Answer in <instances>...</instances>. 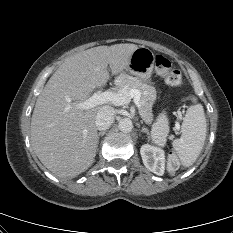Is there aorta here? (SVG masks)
<instances>
[{
	"instance_id": "aorta-1",
	"label": "aorta",
	"mask_w": 233,
	"mask_h": 233,
	"mask_svg": "<svg viewBox=\"0 0 233 233\" xmlns=\"http://www.w3.org/2000/svg\"><path fill=\"white\" fill-rule=\"evenodd\" d=\"M118 126H119L120 131H122L124 133L131 132L133 129V123H132L131 119H129V118H122L119 121Z\"/></svg>"
}]
</instances>
